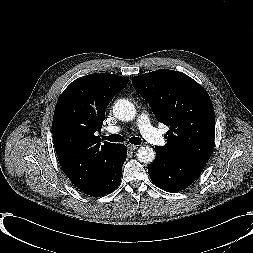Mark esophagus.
Returning a JSON list of instances; mask_svg holds the SVG:
<instances>
[{
	"mask_svg": "<svg viewBox=\"0 0 253 253\" xmlns=\"http://www.w3.org/2000/svg\"><path fill=\"white\" fill-rule=\"evenodd\" d=\"M127 148H128L130 151H134V150H136V149L138 148V146H137V145L128 144V145H127Z\"/></svg>",
	"mask_w": 253,
	"mask_h": 253,
	"instance_id": "esophagus-1",
	"label": "esophagus"
}]
</instances>
